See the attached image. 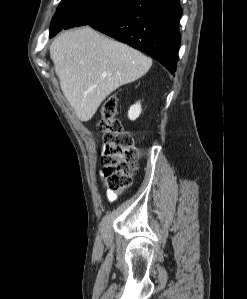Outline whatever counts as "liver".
Segmentation results:
<instances>
[{"label": "liver", "mask_w": 247, "mask_h": 299, "mask_svg": "<svg viewBox=\"0 0 247 299\" xmlns=\"http://www.w3.org/2000/svg\"><path fill=\"white\" fill-rule=\"evenodd\" d=\"M61 90L76 116L89 121L113 91L145 75L152 60L89 26L61 33L50 46Z\"/></svg>", "instance_id": "6515ba94"}]
</instances>
